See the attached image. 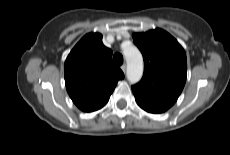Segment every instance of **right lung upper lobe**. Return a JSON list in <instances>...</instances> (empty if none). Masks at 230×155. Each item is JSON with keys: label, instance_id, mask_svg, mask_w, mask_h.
<instances>
[{"label": "right lung upper lobe", "instance_id": "obj_1", "mask_svg": "<svg viewBox=\"0 0 230 155\" xmlns=\"http://www.w3.org/2000/svg\"><path fill=\"white\" fill-rule=\"evenodd\" d=\"M111 57L112 50L103 45L100 33L85 35L68 55L64 64L66 89L80 110L102 108L118 80L124 78Z\"/></svg>", "mask_w": 230, "mask_h": 155}]
</instances>
